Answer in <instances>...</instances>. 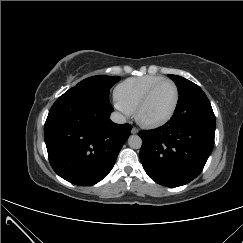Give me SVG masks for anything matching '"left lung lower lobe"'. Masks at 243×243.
<instances>
[{
  "label": "left lung lower lobe",
  "mask_w": 243,
  "mask_h": 243,
  "mask_svg": "<svg viewBox=\"0 0 243 243\" xmlns=\"http://www.w3.org/2000/svg\"><path fill=\"white\" fill-rule=\"evenodd\" d=\"M215 127L177 120L141 130L140 160L148 176L167 187L185 185L204 168L214 146Z\"/></svg>",
  "instance_id": "obj_1"
}]
</instances>
